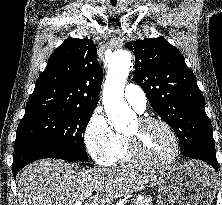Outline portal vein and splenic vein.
<instances>
[{"instance_id":"portal-vein-and-splenic-vein-1","label":"portal vein and splenic vein","mask_w":222,"mask_h":205,"mask_svg":"<svg viewBox=\"0 0 222 205\" xmlns=\"http://www.w3.org/2000/svg\"><path fill=\"white\" fill-rule=\"evenodd\" d=\"M86 195L89 196L90 193H87ZM80 204H82V202H80V201L76 202V205H80ZM85 205H90V204H85Z\"/></svg>"}]
</instances>
